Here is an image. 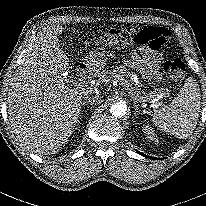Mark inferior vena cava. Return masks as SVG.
<instances>
[{"mask_svg":"<svg viewBox=\"0 0 206 206\" xmlns=\"http://www.w3.org/2000/svg\"><path fill=\"white\" fill-rule=\"evenodd\" d=\"M92 90L91 89H88V90H85L83 91V95H84V98L87 100H90L94 103H97V102H100V98H98L97 96H93L92 95Z\"/></svg>","mask_w":206,"mask_h":206,"instance_id":"1","label":"inferior vena cava"}]
</instances>
